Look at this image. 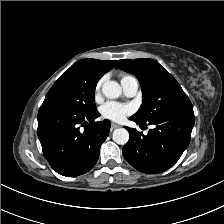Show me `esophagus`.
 Wrapping results in <instances>:
<instances>
[{
	"label": "esophagus",
	"instance_id": "esophagus-1",
	"mask_svg": "<svg viewBox=\"0 0 224 224\" xmlns=\"http://www.w3.org/2000/svg\"><path fill=\"white\" fill-rule=\"evenodd\" d=\"M118 127H120L118 124H115V123L111 124V130L116 129Z\"/></svg>",
	"mask_w": 224,
	"mask_h": 224
}]
</instances>
